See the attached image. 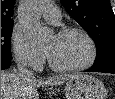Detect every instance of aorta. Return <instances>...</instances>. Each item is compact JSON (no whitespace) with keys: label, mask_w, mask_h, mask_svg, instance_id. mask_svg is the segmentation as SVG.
I'll return each instance as SVG.
<instances>
[{"label":"aorta","mask_w":115,"mask_h":99,"mask_svg":"<svg viewBox=\"0 0 115 99\" xmlns=\"http://www.w3.org/2000/svg\"><path fill=\"white\" fill-rule=\"evenodd\" d=\"M45 2V0H27L21 4L18 11L19 22L32 46H40L47 41L48 31L39 22Z\"/></svg>","instance_id":"aorta-1"}]
</instances>
